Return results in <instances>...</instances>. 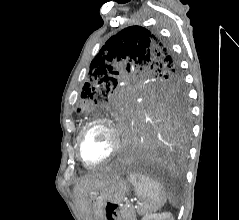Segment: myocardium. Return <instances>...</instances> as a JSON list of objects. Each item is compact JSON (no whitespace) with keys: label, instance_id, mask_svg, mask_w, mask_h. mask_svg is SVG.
Returning a JSON list of instances; mask_svg holds the SVG:
<instances>
[{"label":"myocardium","instance_id":"f54148a6","mask_svg":"<svg viewBox=\"0 0 239 220\" xmlns=\"http://www.w3.org/2000/svg\"><path fill=\"white\" fill-rule=\"evenodd\" d=\"M97 125H103L107 128H109V130L112 133L113 136V147L111 152L102 160L96 161V162H91L85 159V157L83 156L82 153V142H83V138L86 134V132ZM121 146V138H120V134L119 131L116 127V125L108 118H104V117H99V118H95L89 122H87L84 127L81 129L78 138H77V148H78V157L79 159L82 161V163H84L87 166H98L101 164H104L108 161H110L113 157H115V155L118 153L119 149Z\"/></svg>","mask_w":239,"mask_h":220}]
</instances>
